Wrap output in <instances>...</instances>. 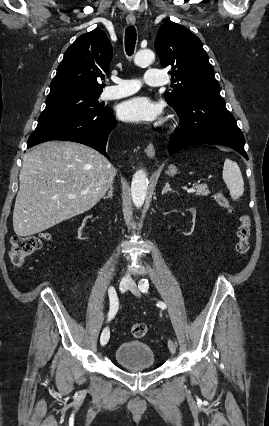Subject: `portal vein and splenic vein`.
<instances>
[{"label":"portal vein and splenic vein","instance_id":"obj_1","mask_svg":"<svg viewBox=\"0 0 269 426\" xmlns=\"http://www.w3.org/2000/svg\"><path fill=\"white\" fill-rule=\"evenodd\" d=\"M194 191H195V189H194V188L187 189V192H188V193H190V192H194ZM83 194H86V192H83Z\"/></svg>","mask_w":269,"mask_h":426}]
</instances>
